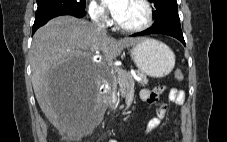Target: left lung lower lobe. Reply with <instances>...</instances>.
<instances>
[{
  "label": "left lung lower lobe",
  "mask_w": 227,
  "mask_h": 142,
  "mask_svg": "<svg viewBox=\"0 0 227 142\" xmlns=\"http://www.w3.org/2000/svg\"><path fill=\"white\" fill-rule=\"evenodd\" d=\"M149 34L169 35V36H172V37L178 39L185 45L181 27H175L172 25H153L152 27H150L142 32L136 33L132 36L149 35Z\"/></svg>",
  "instance_id": "left-lung-lower-lobe-1"
}]
</instances>
